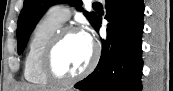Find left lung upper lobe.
Returning <instances> with one entry per match:
<instances>
[{"label":"left lung upper lobe","instance_id":"5c2ea615","mask_svg":"<svg viewBox=\"0 0 173 91\" xmlns=\"http://www.w3.org/2000/svg\"><path fill=\"white\" fill-rule=\"evenodd\" d=\"M68 1L73 3L78 9L82 5L81 0H24V7L18 18L17 28V41H18V53H22L28 42L29 36L33 31L35 25L45 13V11L52 5L60 2ZM85 16L94 26L97 20V14L95 12L84 11Z\"/></svg>","mask_w":173,"mask_h":91}]
</instances>
